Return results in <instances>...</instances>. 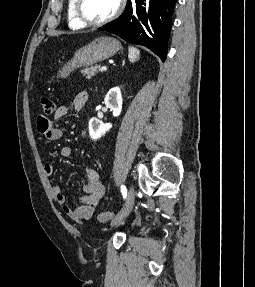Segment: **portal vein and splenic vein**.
Returning <instances> with one entry per match:
<instances>
[{
    "instance_id": "18ae733b",
    "label": "portal vein and splenic vein",
    "mask_w": 255,
    "mask_h": 287,
    "mask_svg": "<svg viewBox=\"0 0 255 287\" xmlns=\"http://www.w3.org/2000/svg\"><path fill=\"white\" fill-rule=\"evenodd\" d=\"M101 72H106L107 68L106 66H102V68H100Z\"/></svg>"
}]
</instances>
